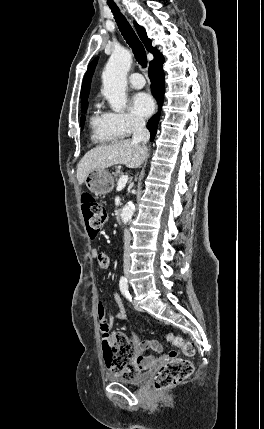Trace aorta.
Masks as SVG:
<instances>
[{
    "label": "aorta",
    "mask_w": 264,
    "mask_h": 429,
    "mask_svg": "<svg viewBox=\"0 0 264 429\" xmlns=\"http://www.w3.org/2000/svg\"><path fill=\"white\" fill-rule=\"evenodd\" d=\"M132 63V55L125 48L113 50L102 73L103 95L115 112H120L126 105L127 72ZM135 205L129 201L123 208L121 219L124 224L129 222L134 214Z\"/></svg>",
    "instance_id": "aorta-1"
}]
</instances>
